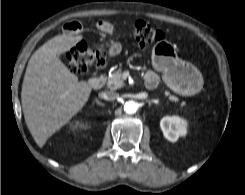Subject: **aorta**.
Returning <instances> with one entry per match:
<instances>
[{"label":"aorta","instance_id":"obj_1","mask_svg":"<svg viewBox=\"0 0 245 195\" xmlns=\"http://www.w3.org/2000/svg\"><path fill=\"white\" fill-rule=\"evenodd\" d=\"M138 105L134 101H128L124 104V111L128 114H133L137 111Z\"/></svg>","mask_w":245,"mask_h":195}]
</instances>
